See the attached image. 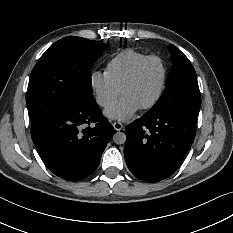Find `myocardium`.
<instances>
[{
	"instance_id": "f54148a6",
	"label": "myocardium",
	"mask_w": 233,
	"mask_h": 233,
	"mask_svg": "<svg viewBox=\"0 0 233 233\" xmlns=\"http://www.w3.org/2000/svg\"><path fill=\"white\" fill-rule=\"evenodd\" d=\"M155 59L159 60L163 66V72H164L163 73V80H162L160 89L158 91V94L156 95L154 100L152 102H150L149 104L141 107V109L143 111H149V110L155 108L164 96V93H165V90L167 87V83H168V79H169V68H168V65H167L166 61L164 60V58L161 57L160 55L147 56L133 69V71L130 73V75L127 77V79L124 81V83L121 86V94L123 95L125 90L128 89L132 84H134V82L137 80L140 73L142 72L144 67L147 65V63H149L150 61L155 60Z\"/></svg>"
}]
</instances>
